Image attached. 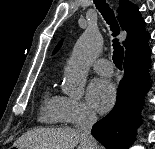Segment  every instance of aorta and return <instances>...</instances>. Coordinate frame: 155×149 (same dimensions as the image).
I'll use <instances>...</instances> for the list:
<instances>
[{"instance_id": "aorta-1", "label": "aorta", "mask_w": 155, "mask_h": 149, "mask_svg": "<svg viewBox=\"0 0 155 149\" xmlns=\"http://www.w3.org/2000/svg\"><path fill=\"white\" fill-rule=\"evenodd\" d=\"M102 36L96 27L89 26L77 40L64 70L62 91L71 97H81L92 60L101 51Z\"/></svg>"}]
</instances>
